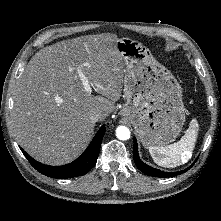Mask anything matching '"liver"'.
I'll return each mask as SVG.
<instances>
[{
    "instance_id": "liver-1",
    "label": "liver",
    "mask_w": 221,
    "mask_h": 221,
    "mask_svg": "<svg viewBox=\"0 0 221 221\" xmlns=\"http://www.w3.org/2000/svg\"><path fill=\"white\" fill-rule=\"evenodd\" d=\"M118 39L111 33L81 36L47 46L31 58L14 93L12 128L34 159L63 165L85 150L95 127L90 113L97 110L100 121L105 120L122 94L124 64L115 47ZM78 66L98 95L84 89Z\"/></svg>"
}]
</instances>
